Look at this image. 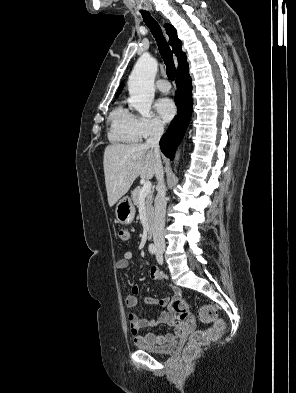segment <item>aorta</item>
Returning a JSON list of instances; mask_svg holds the SVG:
<instances>
[{
  "label": "aorta",
  "instance_id": "762f6f07",
  "mask_svg": "<svg viewBox=\"0 0 296 393\" xmlns=\"http://www.w3.org/2000/svg\"><path fill=\"white\" fill-rule=\"evenodd\" d=\"M157 60L148 54L142 55L136 62L128 80L131 105L142 115H150L154 99V79L157 73ZM179 152L176 153V159Z\"/></svg>",
  "mask_w": 296,
  "mask_h": 393
}]
</instances>
